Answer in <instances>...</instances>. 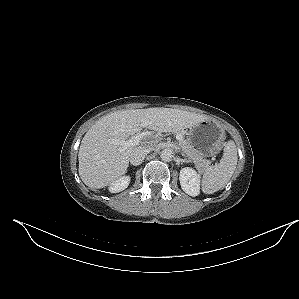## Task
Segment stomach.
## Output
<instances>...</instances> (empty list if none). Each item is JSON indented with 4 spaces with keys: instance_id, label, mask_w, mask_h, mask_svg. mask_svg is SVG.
Masks as SVG:
<instances>
[{
    "instance_id": "obj_1",
    "label": "stomach",
    "mask_w": 299,
    "mask_h": 299,
    "mask_svg": "<svg viewBox=\"0 0 299 299\" xmlns=\"http://www.w3.org/2000/svg\"><path fill=\"white\" fill-rule=\"evenodd\" d=\"M187 140L202 156L211 157L223 147L225 132L220 125L206 119L189 128Z\"/></svg>"
}]
</instances>
